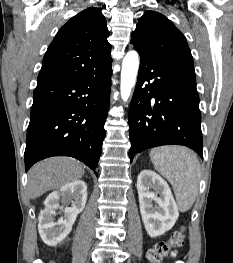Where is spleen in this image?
<instances>
[{
  "mask_svg": "<svg viewBox=\"0 0 233 263\" xmlns=\"http://www.w3.org/2000/svg\"><path fill=\"white\" fill-rule=\"evenodd\" d=\"M150 159L154 168L171 183L178 208L188 211L199 187L201 166L197 155L183 146H162L150 151Z\"/></svg>",
  "mask_w": 233,
  "mask_h": 263,
  "instance_id": "1",
  "label": "spleen"
}]
</instances>
